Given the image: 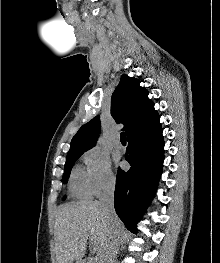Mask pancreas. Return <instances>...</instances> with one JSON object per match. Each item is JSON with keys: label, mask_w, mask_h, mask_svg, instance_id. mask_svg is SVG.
<instances>
[{"label": "pancreas", "mask_w": 220, "mask_h": 263, "mask_svg": "<svg viewBox=\"0 0 220 263\" xmlns=\"http://www.w3.org/2000/svg\"><path fill=\"white\" fill-rule=\"evenodd\" d=\"M95 263H102V261H100V260L98 259L97 262H95Z\"/></svg>", "instance_id": "obj_1"}]
</instances>
